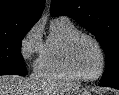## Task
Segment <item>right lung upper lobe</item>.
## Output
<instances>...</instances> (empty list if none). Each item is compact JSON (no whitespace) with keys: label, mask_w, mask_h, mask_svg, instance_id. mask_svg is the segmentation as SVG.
Instances as JSON below:
<instances>
[{"label":"right lung upper lobe","mask_w":119,"mask_h":95,"mask_svg":"<svg viewBox=\"0 0 119 95\" xmlns=\"http://www.w3.org/2000/svg\"><path fill=\"white\" fill-rule=\"evenodd\" d=\"M45 0H0V29L31 25L41 16Z\"/></svg>","instance_id":"1"}]
</instances>
